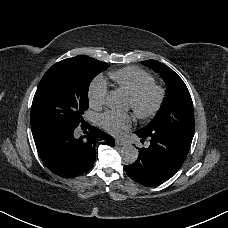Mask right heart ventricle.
Listing matches in <instances>:
<instances>
[{
	"label": "right heart ventricle",
	"instance_id": "e07e8e85",
	"mask_svg": "<svg viewBox=\"0 0 228 228\" xmlns=\"http://www.w3.org/2000/svg\"><path fill=\"white\" fill-rule=\"evenodd\" d=\"M107 74L114 82L116 92H124L127 96L135 95L154 84V78L137 67H127L119 71H110Z\"/></svg>",
	"mask_w": 228,
	"mask_h": 228
}]
</instances>
